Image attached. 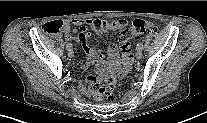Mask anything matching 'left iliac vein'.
I'll return each mask as SVG.
<instances>
[{"label": "left iliac vein", "mask_w": 207, "mask_h": 123, "mask_svg": "<svg viewBox=\"0 0 207 123\" xmlns=\"http://www.w3.org/2000/svg\"><path fill=\"white\" fill-rule=\"evenodd\" d=\"M136 58L141 59L142 58V49L137 48L136 50Z\"/></svg>", "instance_id": "obj_1"}]
</instances>
